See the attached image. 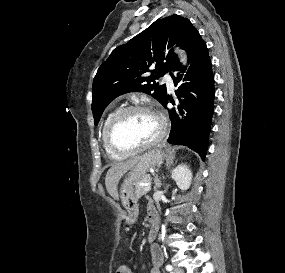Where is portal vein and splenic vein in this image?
Segmentation results:
<instances>
[{
    "label": "portal vein and splenic vein",
    "instance_id": "portal-vein-and-splenic-vein-1",
    "mask_svg": "<svg viewBox=\"0 0 285 273\" xmlns=\"http://www.w3.org/2000/svg\"><path fill=\"white\" fill-rule=\"evenodd\" d=\"M150 190H151V186L149 184L145 185L144 191L149 192Z\"/></svg>",
    "mask_w": 285,
    "mask_h": 273
}]
</instances>
